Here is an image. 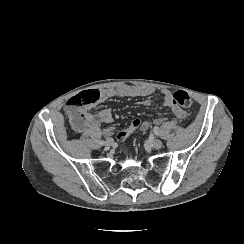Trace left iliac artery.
Listing matches in <instances>:
<instances>
[{
	"label": "left iliac artery",
	"instance_id": "1",
	"mask_svg": "<svg viewBox=\"0 0 244 244\" xmlns=\"http://www.w3.org/2000/svg\"><path fill=\"white\" fill-rule=\"evenodd\" d=\"M154 133H155L156 135H159V127H154Z\"/></svg>",
	"mask_w": 244,
	"mask_h": 244
}]
</instances>
